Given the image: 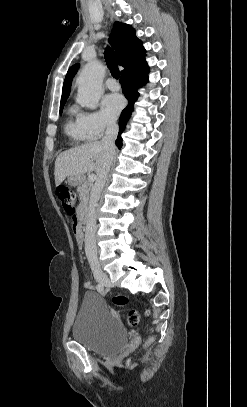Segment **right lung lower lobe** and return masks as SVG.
<instances>
[{
  "mask_svg": "<svg viewBox=\"0 0 247 407\" xmlns=\"http://www.w3.org/2000/svg\"><path fill=\"white\" fill-rule=\"evenodd\" d=\"M148 70L149 68L144 59L143 61L121 73L120 83L122 85L123 93L128 99L129 103L127 107L122 111L119 120V133L117 140L115 141L116 146L119 149L122 147L121 133L125 129V126L134 110V103L139 96L137 88L140 87L142 84L147 83Z\"/></svg>",
  "mask_w": 247,
  "mask_h": 407,
  "instance_id": "obj_1",
  "label": "right lung lower lobe"
}]
</instances>
